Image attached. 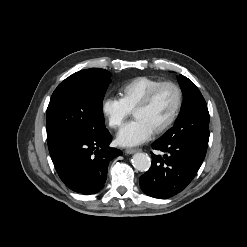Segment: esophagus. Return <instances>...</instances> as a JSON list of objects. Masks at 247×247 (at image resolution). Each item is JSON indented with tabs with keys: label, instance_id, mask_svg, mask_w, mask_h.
<instances>
[{
	"label": "esophagus",
	"instance_id": "obj_1",
	"mask_svg": "<svg viewBox=\"0 0 247 247\" xmlns=\"http://www.w3.org/2000/svg\"><path fill=\"white\" fill-rule=\"evenodd\" d=\"M138 151H140V149H138V148H127V149L125 150V152H126L127 154H133V153L138 152Z\"/></svg>",
	"mask_w": 247,
	"mask_h": 247
}]
</instances>
